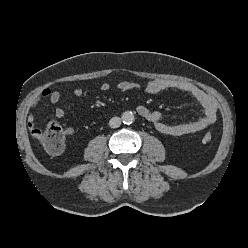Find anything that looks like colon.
<instances>
[{
    "label": "colon",
    "instance_id": "5ec220e1",
    "mask_svg": "<svg viewBox=\"0 0 248 248\" xmlns=\"http://www.w3.org/2000/svg\"><path fill=\"white\" fill-rule=\"evenodd\" d=\"M37 133L40 143L49 154L58 155L64 150L65 134L58 123L50 122L43 129H39ZM211 139V133L203 136L204 142H209Z\"/></svg>",
    "mask_w": 248,
    "mask_h": 248
}]
</instances>
